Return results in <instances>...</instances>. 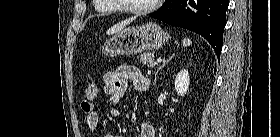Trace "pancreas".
I'll list each match as a JSON object with an SVG mask.
<instances>
[{
    "label": "pancreas",
    "instance_id": "obj_1",
    "mask_svg": "<svg viewBox=\"0 0 280 137\" xmlns=\"http://www.w3.org/2000/svg\"><path fill=\"white\" fill-rule=\"evenodd\" d=\"M140 61L147 65L148 67H153L156 65L155 55L153 53H143L140 55Z\"/></svg>",
    "mask_w": 280,
    "mask_h": 137
}]
</instances>
